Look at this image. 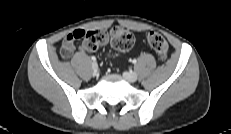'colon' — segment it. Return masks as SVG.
I'll return each instance as SVG.
<instances>
[{
	"instance_id": "5ec220e1",
	"label": "colon",
	"mask_w": 231,
	"mask_h": 134,
	"mask_svg": "<svg viewBox=\"0 0 231 134\" xmlns=\"http://www.w3.org/2000/svg\"><path fill=\"white\" fill-rule=\"evenodd\" d=\"M73 37L75 39L82 38L83 44L89 50H98L110 42L117 51H127L134 44L133 35L127 29L119 26L112 28L109 33L103 30L78 29L73 32ZM147 41L159 58L165 61L168 57V43L165 38L157 32H150L147 35Z\"/></svg>"
}]
</instances>
